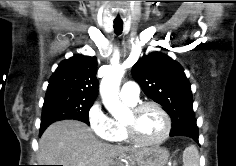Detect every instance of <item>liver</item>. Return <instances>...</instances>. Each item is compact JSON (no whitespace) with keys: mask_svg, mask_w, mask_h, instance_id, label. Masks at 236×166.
<instances>
[{"mask_svg":"<svg viewBox=\"0 0 236 166\" xmlns=\"http://www.w3.org/2000/svg\"><path fill=\"white\" fill-rule=\"evenodd\" d=\"M143 151L99 141L83 122L63 120L51 124L39 140L38 163L63 166H115V159L134 165Z\"/></svg>","mask_w":236,"mask_h":166,"instance_id":"1","label":"liver"}]
</instances>
